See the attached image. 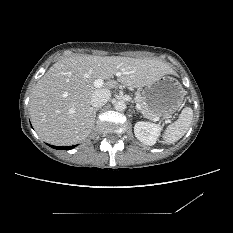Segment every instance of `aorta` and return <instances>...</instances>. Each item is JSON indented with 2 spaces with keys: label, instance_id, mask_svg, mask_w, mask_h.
I'll return each instance as SVG.
<instances>
[{
  "label": "aorta",
  "instance_id": "aorta-1",
  "mask_svg": "<svg viewBox=\"0 0 233 233\" xmlns=\"http://www.w3.org/2000/svg\"><path fill=\"white\" fill-rule=\"evenodd\" d=\"M114 109L116 111H124L126 109V103L123 100L116 101L114 103Z\"/></svg>",
  "mask_w": 233,
  "mask_h": 233
}]
</instances>
